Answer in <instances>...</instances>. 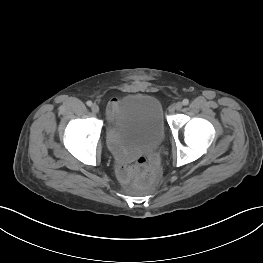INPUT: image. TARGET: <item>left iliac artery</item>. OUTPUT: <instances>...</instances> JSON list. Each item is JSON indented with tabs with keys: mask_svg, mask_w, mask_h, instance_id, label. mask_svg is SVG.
<instances>
[{
	"mask_svg": "<svg viewBox=\"0 0 263 263\" xmlns=\"http://www.w3.org/2000/svg\"><path fill=\"white\" fill-rule=\"evenodd\" d=\"M182 103H183V105H188L189 104V100L188 99H184L183 101H182Z\"/></svg>",
	"mask_w": 263,
	"mask_h": 263,
	"instance_id": "1",
	"label": "left iliac artery"
}]
</instances>
